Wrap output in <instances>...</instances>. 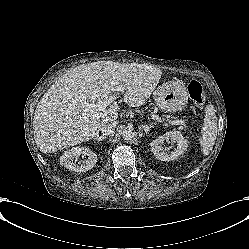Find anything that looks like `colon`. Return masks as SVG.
<instances>
[{"mask_svg": "<svg viewBox=\"0 0 249 249\" xmlns=\"http://www.w3.org/2000/svg\"><path fill=\"white\" fill-rule=\"evenodd\" d=\"M188 92L191 100L195 105L197 106L203 105L204 96H203L202 87L199 83L191 82L188 86Z\"/></svg>", "mask_w": 249, "mask_h": 249, "instance_id": "5ec220e1", "label": "colon"}]
</instances>
